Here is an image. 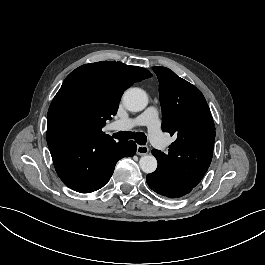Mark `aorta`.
Segmentation results:
<instances>
[{"label":"aorta","mask_w":265,"mask_h":265,"mask_svg":"<svg viewBox=\"0 0 265 265\" xmlns=\"http://www.w3.org/2000/svg\"><path fill=\"white\" fill-rule=\"evenodd\" d=\"M125 107L132 112H139L148 106V95L140 88H129L122 97ZM140 168L145 173H152L157 168V160L153 155H143L139 160Z\"/></svg>","instance_id":"762f6f07"}]
</instances>
